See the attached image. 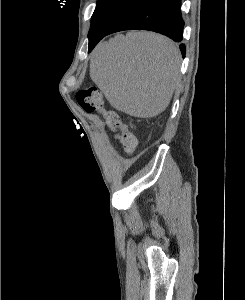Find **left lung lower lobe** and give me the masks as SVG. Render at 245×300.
Returning a JSON list of instances; mask_svg holds the SVG:
<instances>
[{"label":"left lung lower lobe","instance_id":"left-lung-lower-lobe-1","mask_svg":"<svg viewBox=\"0 0 245 300\" xmlns=\"http://www.w3.org/2000/svg\"><path fill=\"white\" fill-rule=\"evenodd\" d=\"M180 6V0H140L126 10L105 33L95 31L89 34L88 52L105 36L124 30L154 31L180 42L184 26ZM180 50L184 57V44H180Z\"/></svg>","mask_w":245,"mask_h":300}]
</instances>
